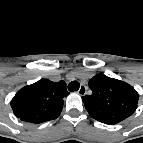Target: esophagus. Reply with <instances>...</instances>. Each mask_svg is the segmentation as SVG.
Segmentation results:
<instances>
[{"label":"esophagus","mask_w":143,"mask_h":143,"mask_svg":"<svg viewBox=\"0 0 143 143\" xmlns=\"http://www.w3.org/2000/svg\"><path fill=\"white\" fill-rule=\"evenodd\" d=\"M86 92V86L85 85H81L79 90H78V93L79 94H84Z\"/></svg>","instance_id":"obj_1"}]
</instances>
